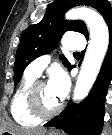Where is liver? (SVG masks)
<instances>
[{
	"label": "liver",
	"instance_id": "obj_1",
	"mask_svg": "<svg viewBox=\"0 0 112 135\" xmlns=\"http://www.w3.org/2000/svg\"><path fill=\"white\" fill-rule=\"evenodd\" d=\"M6 128L13 135H45L46 133L45 129L24 130L12 124H8ZM0 133H2V131H0Z\"/></svg>",
	"mask_w": 112,
	"mask_h": 135
}]
</instances>
